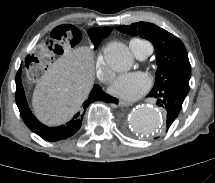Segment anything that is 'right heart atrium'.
<instances>
[{
  "instance_id": "d8ad5b80",
  "label": "right heart atrium",
  "mask_w": 215,
  "mask_h": 183,
  "mask_svg": "<svg viewBox=\"0 0 215 183\" xmlns=\"http://www.w3.org/2000/svg\"><path fill=\"white\" fill-rule=\"evenodd\" d=\"M97 77L105 84H109L113 77L114 72L106 65L103 55H99L96 63Z\"/></svg>"
}]
</instances>
